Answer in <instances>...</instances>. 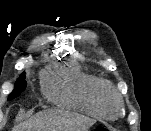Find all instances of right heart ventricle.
I'll return each mask as SVG.
<instances>
[{"instance_id":"obj_1","label":"right heart ventricle","mask_w":151,"mask_h":131,"mask_svg":"<svg viewBox=\"0 0 151 131\" xmlns=\"http://www.w3.org/2000/svg\"><path fill=\"white\" fill-rule=\"evenodd\" d=\"M107 83L84 70L77 62L55 66L42 79L47 99L64 107L102 118L98 96Z\"/></svg>"}]
</instances>
